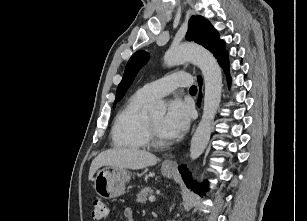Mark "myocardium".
I'll return each mask as SVG.
<instances>
[{"label":"myocardium","instance_id":"myocardium-1","mask_svg":"<svg viewBox=\"0 0 307 221\" xmlns=\"http://www.w3.org/2000/svg\"><path fill=\"white\" fill-rule=\"evenodd\" d=\"M146 141L147 145L153 148H163L168 145V140L160 137L150 115L146 122Z\"/></svg>","mask_w":307,"mask_h":221}]
</instances>
